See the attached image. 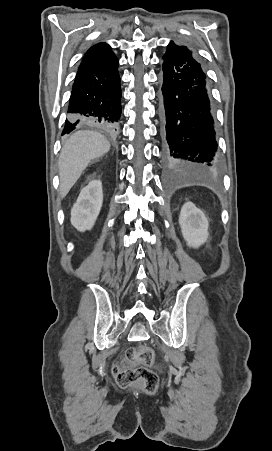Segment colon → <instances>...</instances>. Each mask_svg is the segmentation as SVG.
<instances>
[{"mask_svg":"<svg viewBox=\"0 0 272 451\" xmlns=\"http://www.w3.org/2000/svg\"><path fill=\"white\" fill-rule=\"evenodd\" d=\"M149 349L150 344L143 342L140 350L130 348L124 356L117 359L114 374L119 385L126 387L138 384L149 393L156 392L159 379L149 367L153 363L155 352Z\"/></svg>","mask_w":272,"mask_h":451,"instance_id":"colon-1","label":"colon"}]
</instances>
